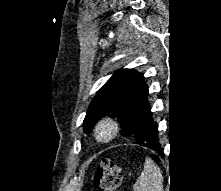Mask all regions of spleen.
Listing matches in <instances>:
<instances>
[{
    "mask_svg": "<svg viewBox=\"0 0 221 191\" xmlns=\"http://www.w3.org/2000/svg\"><path fill=\"white\" fill-rule=\"evenodd\" d=\"M134 191H163V175L160 168L150 158L146 159L144 169L133 185Z\"/></svg>",
    "mask_w": 221,
    "mask_h": 191,
    "instance_id": "spleen-1",
    "label": "spleen"
}]
</instances>
